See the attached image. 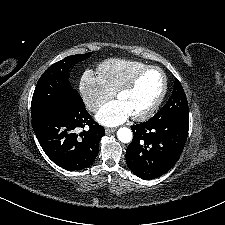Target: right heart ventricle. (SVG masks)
<instances>
[{
  "label": "right heart ventricle",
  "mask_w": 225,
  "mask_h": 225,
  "mask_svg": "<svg viewBox=\"0 0 225 225\" xmlns=\"http://www.w3.org/2000/svg\"><path fill=\"white\" fill-rule=\"evenodd\" d=\"M146 64L119 58H110L98 65L99 76L106 87L115 94L137 71Z\"/></svg>",
  "instance_id": "1"
}]
</instances>
